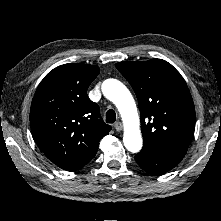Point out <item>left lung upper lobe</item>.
<instances>
[{
	"label": "left lung upper lobe",
	"mask_w": 221,
	"mask_h": 221,
	"mask_svg": "<svg viewBox=\"0 0 221 221\" xmlns=\"http://www.w3.org/2000/svg\"><path fill=\"white\" fill-rule=\"evenodd\" d=\"M116 68L137 96L143 146L184 157L194 133L195 108L179 72L161 59L123 61Z\"/></svg>",
	"instance_id": "left-lung-upper-lobe-1"
}]
</instances>
